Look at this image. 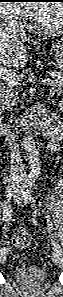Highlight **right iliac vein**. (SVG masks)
<instances>
[{
  "label": "right iliac vein",
  "instance_id": "right-iliac-vein-1",
  "mask_svg": "<svg viewBox=\"0 0 63 297\" xmlns=\"http://www.w3.org/2000/svg\"><path fill=\"white\" fill-rule=\"evenodd\" d=\"M6 259L5 254L2 256V261H4Z\"/></svg>",
  "mask_w": 63,
  "mask_h": 297
}]
</instances>
